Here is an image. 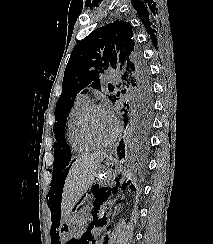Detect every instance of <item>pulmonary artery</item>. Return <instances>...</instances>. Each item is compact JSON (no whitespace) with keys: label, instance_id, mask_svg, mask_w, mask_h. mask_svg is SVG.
<instances>
[{"label":"pulmonary artery","instance_id":"1","mask_svg":"<svg viewBox=\"0 0 213 244\" xmlns=\"http://www.w3.org/2000/svg\"><path fill=\"white\" fill-rule=\"evenodd\" d=\"M111 80H112V81H116V76H112V77H111ZM81 97H83V98H85V99H88V100H89V97H88V95H87V94H82V95H81Z\"/></svg>","mask_w":213,"mask_h":244}]
</instances>
